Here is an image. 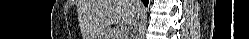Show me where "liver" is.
I'll return each instance as SVG.
<instances>
[{
  "label": "liver",
  "instance_id": "6515ba94",
  "mask_svg": "<svg viewBox=\"0 0 249 39\" xmlns=\"http://www.w3.org/2000/svg\"><path fill=\"white\" fill-rule=\"evenodd\" d=\"M134 0H80L78 12L86 39L101 36L111 24H134L141 10Z\"/></svg>",
  "mask_w": 249,
  "mask_h": 39
}]
</instances>
